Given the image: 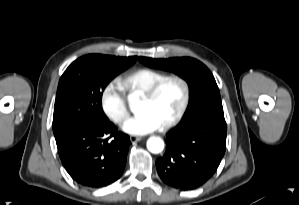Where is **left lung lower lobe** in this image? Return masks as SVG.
I'll return each instance as SVG.
<instances>
[{
    "label": "left lung lower lobe",
    "instance_id": "obj_1",
    "mask_svg": "<svg viewBox=\"0 0 299 205\" xmlns=\"http://www.w3.org/2000/svg\"><path fill=\"white\" fill-rule=\"evenodd\" d=\"M223 111L181 122L167 133V151L156 161L162 181L180 190L203 185L216 172L226 149Z\"/></svg>",
    "mask_w": 299,
    "mask_h": 205
}]
</instances>
